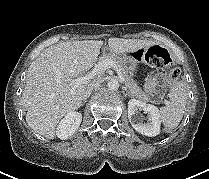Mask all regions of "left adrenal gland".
Masks as SVG:
<instances>
[{"mask_svg": "<svg viewBox=\"0 0 209 179\" xmlns=\"http://www.w3.org/2000/svg\"><path fill=\"white\" fill-rule=\"evenodd\" d=\"M125 96L132 97L128 92H126Z\"/></svg>", "mask_w": 209, "mask_h": 179, "instance_id": "1", "label": "left adrenal gland"}]
</instances>
